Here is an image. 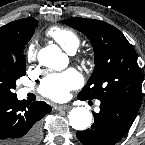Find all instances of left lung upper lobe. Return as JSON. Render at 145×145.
I'll return each instance as SVG.
<instances>
[{"instance_id":"obj_1","label":"left lung upper lobe","mask_w":145,"mask_h":145,"mask_svg":"<svg viewBox=\"0 0 145 145\" xmlns=\"http://www.w3.org/2000/svg\"><path fill=\"white\" fill-rule=\"evenodd\" d=\"M64 23L84 33L94 49V71L78 96L139 108L142 73L134 48L125 36L112 25L95 19L75 17Z\"/></svg>"}]
</instances>
